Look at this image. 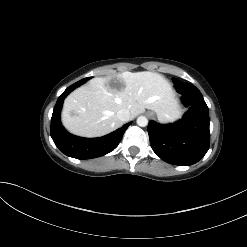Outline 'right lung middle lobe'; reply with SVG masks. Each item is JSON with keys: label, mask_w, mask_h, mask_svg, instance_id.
Wrapping results in <instances>:
<instances>
[{"label": "right lung middle lobe", "mask_w": 247, "mask_h": 247, "mask_svg": "<svg viewBox=\"0 0 247 247\" xmlns=\"http://www.w3.org/2000/svg\"><path fill=\"white\" fill-rule=\"evenodd\" d=\"M89 79H90V77L84 78V79H82V80H84V82H86V81L89 80Z\"/></svg>", "instance_id": "dd1d6c3e"}]
</instances>
